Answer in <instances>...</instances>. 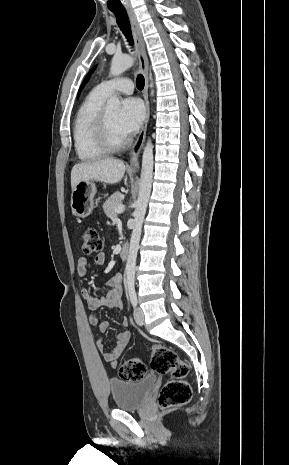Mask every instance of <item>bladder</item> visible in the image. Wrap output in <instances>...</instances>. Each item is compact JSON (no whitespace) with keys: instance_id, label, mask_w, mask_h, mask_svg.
I'll use <instances>...</instances> for the list:
<instances>
[{"instance_id":"bladder-1","label":"bladder","mask_w":289,"mask_h":465,"mask_svg":"<svg viewBox=\"0 0 289 465\" xmlns=\"http://www.w3.org/2000/svg\"><path fill=\"white\" fill-rule=\"evenodd\" d=\"M157 376L148 375L137 381L112 379L109 388L117 409L137 410L145 405L157 384Z\"/></svg>"}]
</instances>
